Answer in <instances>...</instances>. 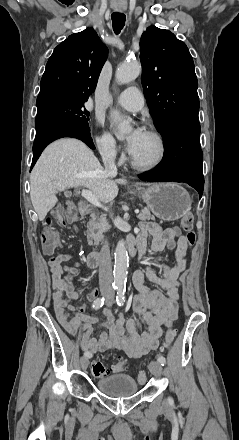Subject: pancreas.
I'll list each match as a JSON object with an SVG mask.
<instances>
[{"label":"pancreas","instance_id":"pancreas-1","mask_svg":"<svg viewBox=\"0 0 239 440\" xmlns=\"http://www.w3.org/2000/svg\"><path fill=\"white\" fill-rule=\"evenodd\" d=\"M139 220H155L154 216H151L148 208H143L141 214L137 216ZM87 240L89 246H99V242L103 240L104 232H108L111 226L108 224L107 218L104 216H98V214H91V220L87 224Z\"/></svg>","mask_w":239,"mask_h":440}]
</instances>
